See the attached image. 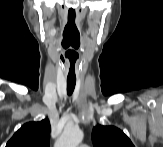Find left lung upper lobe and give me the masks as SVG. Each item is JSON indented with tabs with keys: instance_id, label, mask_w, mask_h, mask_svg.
Here are the masks:
<instances>
[{
	"instance_id": "left-lung-upper-lobe-1",
	"label": "left lung upper lobe",
	"mask_w": 163,
	"mask_h": 147,
	"mask_svg": "<svg viewBox=\"0 0 163 147\" xmlns=\"http://www.w3.org/2000/svg\"><path fill=\"white\" fill-rule=\"evenodd\" d=\"M92 141L94 147H134L124 132L114 126H95Z\"/></svg>"
}]
</instances>
